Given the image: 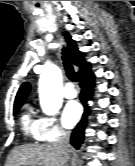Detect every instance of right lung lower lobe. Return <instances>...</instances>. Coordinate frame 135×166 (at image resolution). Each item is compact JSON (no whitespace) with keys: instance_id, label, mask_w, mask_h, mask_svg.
Returning <instances> with one entry per match:
<instances>
[{"instance_id":"obj_1","label":"right lung lower lobe","mask_w":135,"mask_h":166,"mask_svg":"<svg viewBox=\"0 0 135 166\" xmlns=\"http://www.w3.org/2000/svg\"><path fill=\"white\" fill-rule=\"evenodd\" d=\"M77 75L80 81L79 85L81 87L79 98L84 106L85 111L82 120L77 124L75 129H73L71 134V144L75 148H79L83 142L84 131L87 124V116L90 112L87 101L91 98L92 88L94 87V74L91 72L89 63L81 68Z\"/></svg>"}]
</instances>
